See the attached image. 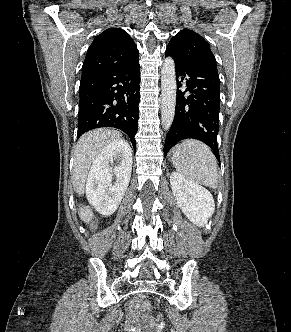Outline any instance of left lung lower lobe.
<instances>
[{"label": "left lung lower lobe", "instance_id": "1", "mask_svg": "<svg viewBox=\"0 0 291 332\" xmlns=\"http://www.w3.org/2000/svg\"><path fill=\"white\" fill-rule=\"evenodd\" d=\"M175 62L177 79L176 108L173 123L166 136L164 156L179 141L197 139L208 145L220 162L217 135L219 132L220 81L216 64H189L166 49ZM183 85L187 89L179 90Z\"/></svg>", "mask_w": 291, "mask_h": 332}]
</instances>
